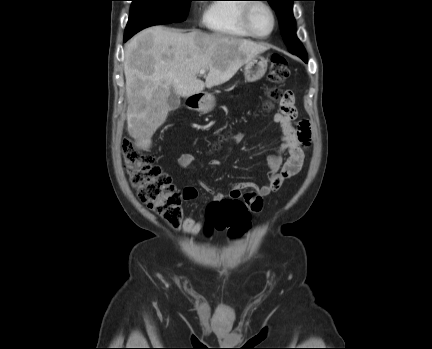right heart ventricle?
I'll use <instances>...</instances> for the list:
<instances>
[{
  "label": "right heart ventricle",
  "mask_w": 432,
  "mask_h": 349,
  "mask_svg": "<svg viewBox=\"0 0 432 349\" xmlns=\"http://www.w3.org/2000/svg\"><path fill=\"white\" fill-rule=\"evenodd\" d=\"M223 1L246 0H213L208 4L204 14V24L211 32L229 38H249L250 35L241 23L242 2L223 3Z\"/></svg>",
  "instance_id": "obj_1"
}]
</instances>
